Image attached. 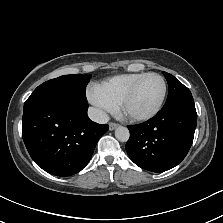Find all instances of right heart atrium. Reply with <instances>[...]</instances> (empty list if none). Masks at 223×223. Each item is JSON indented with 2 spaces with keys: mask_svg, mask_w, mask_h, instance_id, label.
<instances>
[{
  "mask_svg": "<svg viewBox=\"0 0 223 223\" xmlns=\"http://www.w3.org/2000/svg\"><path fill=\"white\" fill-rule=\"evenodd\" d=\"M89 100L95 106L100 117L110 112L114 113L117 109V106L103 94L97 85L92 87Z\"/></svg>",
  "mask_w": 223,
  "mask_h": 223,
  "instance_id": "right-heart-atrium-1",
  "label": "right heart atrium"
}]
</instances>
